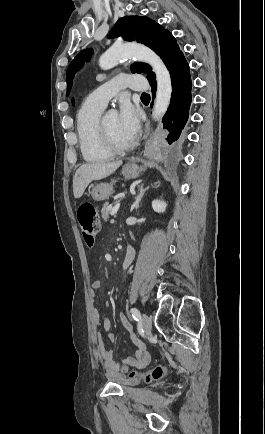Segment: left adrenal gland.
<instances>
[{"mask_svg":"<svg viewBox=\"0 0 265 434\" xmlns=\"http://www.w3.org/2000/svg\"><path fill=\"white\" fill-rule=\"evenodd\" d=\"M148 188H149V186H148ZM148 188H144V184H141V186H139V194H138V196H136L135 202H133V204L131 206V210H134V208H136V210H138L140 200H141L142 196H144L145 192H147Z\"/></svg>","mask_w":265,"mask_h":434,"instance_id":"left-adrenal-gland-1","label":"left adrenal gland"}]
</instances>
